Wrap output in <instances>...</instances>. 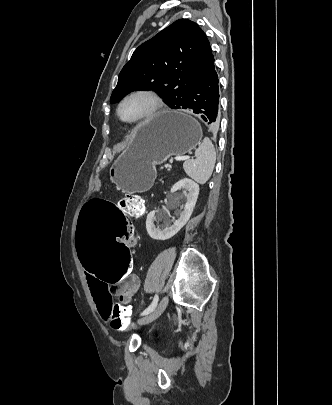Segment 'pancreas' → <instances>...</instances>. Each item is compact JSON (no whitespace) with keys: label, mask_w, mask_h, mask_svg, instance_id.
<instances>
[{"label":"pancreas","mask_w":332,"mask_h":405,"mask_svg":"<svg viewBox=\"0 0 332 405\" xmlns=\"http://www.w3.org/2000/svg\"><path fill=\"white\" fill-rule=\"evenodd\" d=\"M165 167H166V168H171V165L165 164Z\"/></svg>","instance_id":"cf45deb5"}]
</instances>
